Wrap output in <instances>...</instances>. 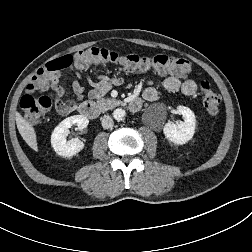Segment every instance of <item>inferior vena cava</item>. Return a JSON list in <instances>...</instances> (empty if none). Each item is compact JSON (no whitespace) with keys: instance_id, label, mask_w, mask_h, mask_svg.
I'll use <instances>...</instances> for the list:
<instances>
[{"instance_id":"1","label":"inferior vena cava","mask_w":252,"mask_h":252,"mask_svg":"<svg viewBox=\"0 0 252 252\" xmlns=\"http://www.w3.org/2000/svg\"><path fill=\"white\" fill-rule=\"evenodd\" d=\"M101 123L104 129L112 128L114 125L113 119L109 115H104L101 118Z\"/></svg>"}]
</instances>
